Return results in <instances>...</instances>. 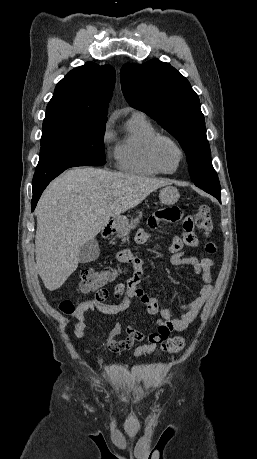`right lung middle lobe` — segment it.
<instances>
[{
  "label": "right lung middle lobe",
  "mask_w": 257,
  "mask_h": 459,
  "mask_svg": "<svg viewBox=\"0 0 257 459\" xmlns=\"http://www.w3.org/2000/svg\"><path fill=\"white\" fill-rule=\"evenodd\" d=\"M105 123L64 115H46L36 169L43 170L71 162L104 165Z\"/></svg>",
  "instance_id": "1"
}]
</instances>
